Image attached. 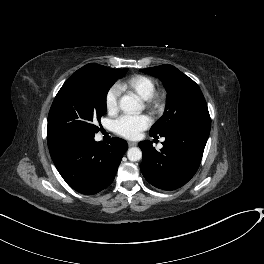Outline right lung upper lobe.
<instances>
[{"instance_id":"obj_1","label":"right lung upper lobe","mask_w":264,"mask_h":264,"mask_svg":"<svg viewBox=\"0 0 264 264\" xmlns=\"http://www.w3.org/2000/svg\"><path fill=\"white\" fill-rule=\"evenodd\" d=\"M87 65H89V64H87ZM54 144H57V143H54V142H48V146H49V148H50L51 146H53Z\"/></svg>"}]
</instances>
